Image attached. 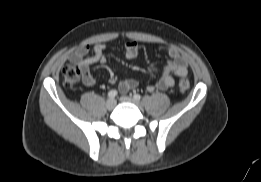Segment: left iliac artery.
<instances>
[{"label": "left iliac artery", "instance_id": "left-iliac-artery-1", "mask_svg": "<svg viewBox=\"0 0 261 182\" xmlns=\"http://www.w3.org/2000/svg\"><path fill=\"white\" fill-rule=\"evenodd\" d=\"M133 98L137 101H139L141 99V95L140 94H134Z\"/></svg>", "mask_w": 261, "mask_h": 182}]
</instances>
